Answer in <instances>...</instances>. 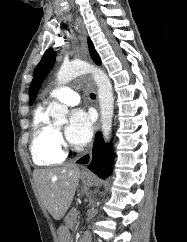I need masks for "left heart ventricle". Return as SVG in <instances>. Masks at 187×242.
<instances>
[{
    "label": "left heart ventricle",
    "instance_id": "obj_1",
    "mask_svg": "<svg viewBox=\"0 0 187 242\" xmlns=\"http://www.w3.org/2000/svg\"><path fill=\"white\" fill-rule=\"evenodd\" d=\"M63 128H64V123L61 124V125H59V126H57V129H58V130H62Z\"/></svg>",
    "mask_w": 187,
    "mask_h": 242
}]
</instances>
